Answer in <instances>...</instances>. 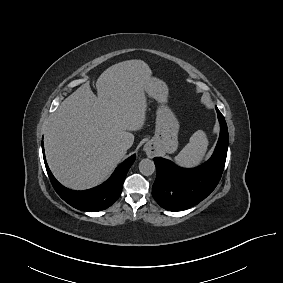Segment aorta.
<instances>
[{"instance_id":"762f6f07","label":"aorta","mask_w":283,"mask_h":283,"mask_svg":"<svg viewBox=\"0 0 283 283\" xmlns=\"http://www.w3.org/2000/svg\"><path fill=\"white\" fill-rule=\"evenodd\" d=\"M139 171L142 175L150 176L155 172V164L152 160L145 158L139 163Z\"/></svg>"}]
</instances>
